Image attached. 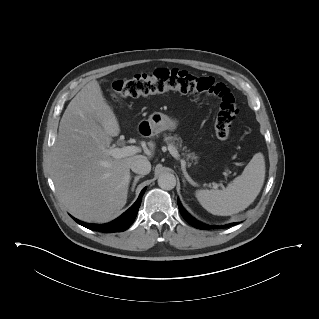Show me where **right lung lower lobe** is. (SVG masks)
<instances>
[{"label": "right lung lower lobe", "instance_id": "right-lung-lower-lobe-1", "mask_svg": "<svg viewBox=\"0 0 319 319\" xmlns=\"http://www.w3.org/2000/svg\"><path fill=\"white\" fill-rule=\"evenodd\" d=\"M144 188L137 201L124 213L122 214L119 218L115 219L114 221L107 223V224H103V225H96V224H87L84 222H81L75 218H73L78 224L94 230V231H99L102 233H111V232H122L125 231L127 228H129V226L133 223V221L136 218L138 209L140 207L141 204V200H142V196L145 192Z\"/></svg>", "mask_w": 319, "mask_h": 319}]
</instances>
